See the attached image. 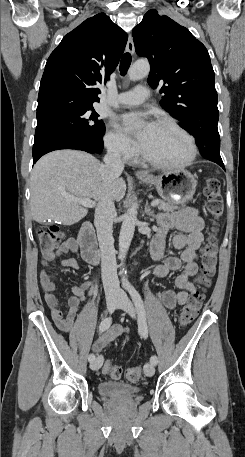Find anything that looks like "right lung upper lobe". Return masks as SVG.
I'll use <instances>...</instances> for the list:
<instances>
[{
	"mask_svg": "<svg viewBox=\"0 0 245 457\" xmlns=\"http://www.w3.org/2000/svg\"><path fill=\"white\" fill-rule=\"evenodd\" d=\"M128 35L105 13L68 33L47 60L37 112L62 102H99L97 88L115 70Z\"/></svg>",
	"mask_w": 245,
	"mask_h": 457,
	"instance_id": "1",
	"label": "right lung upper lobe"
}]
</instances>
